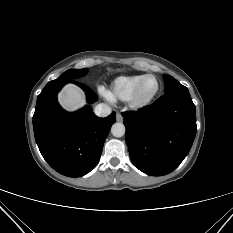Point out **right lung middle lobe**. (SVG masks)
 Returning a JSON list of instances; mask_svg holds the SVG:
<instances>
[{"instance_id":"1","label":"right lung middle lobe","mask_w":233,"mask_h":233,"mask_svg":"<svg viewBox=\"0 0 233 233\" xmlns=\"http://www.w3.org/2000/svg\"><path fill=\"white\" fill-rule=\"evenodd\" d=\"M87 72L88 69H69L59 78L50 82H71L72 80L85 76Z\"/></svg>"}]
</instances>
